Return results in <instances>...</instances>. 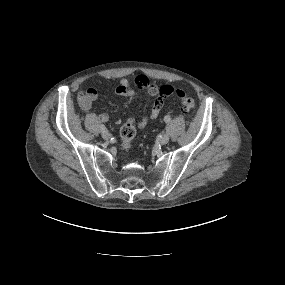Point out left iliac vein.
<instances>
[{
    "label": "left iliac vein",
    "mask_w": 285,
    "mask_h": 285,
    "mask_svg": "<svg viewBox=\"0 0 285 285\" xmlns=\"http://www.w3.org/2000/svg\"><path fill=\"white\" fill-rule=\"evenodd\" d=\"M169 140H170V137L167 134H163L160 137L159 142L164 145V144H167Z\"/></svg>",
    "instance_id": "obj_1"
}]
</instances>
